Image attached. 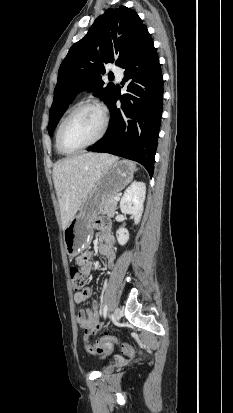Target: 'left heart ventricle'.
Wrapping results in <instances>:
<instances>
[{"label":"left heart ventricle","mask_w":233,"mask_h":413,"mask_svg":"<svg viewBox=\"0 0 233 413\" xmlns=\"http://www.w3.org/2000/svg\"><path fill=\"white\" fill-rule=\"evenodd\" d=\"M102 116L95 108H84L67 124L63 132V144L76 149L92 141L100 132Z\"/></svg>","instance_id":"b2bd125f"}]
</instances>
